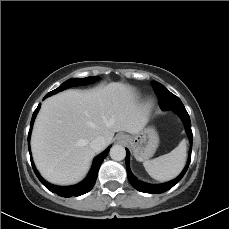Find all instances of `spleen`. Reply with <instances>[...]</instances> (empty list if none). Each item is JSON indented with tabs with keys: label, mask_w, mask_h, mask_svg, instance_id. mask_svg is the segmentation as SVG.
Wrapping results in <instances>:
<instances>
[{
	"label": "spleen",
	"mask_w": 229,
	"mask_h": 229,
	"mask_svg": "<svg viewBox=\"0 0 229 229\" xmlns=\"http://www.w3.org/2000/svg\"><path fill=\"white\" fill-rule=\"evenodd\" d=\"M186 161V141L182 140L170 153L143 162L148 174L158 181L175 178L183 169Z\"/></svg>",
	"instance_id": "obj_1"
}]
</instances>
